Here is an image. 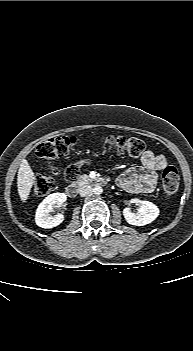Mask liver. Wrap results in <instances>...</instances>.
Returning <instances> with one entry per match:
<instances>
[{"mask_svg":"<svg viewBox=\"0 0 193 351\" xmlns=\"http://www.w3.org/2000/svg\"><path fill=\"white\" fill-rule=\"evenodd\" d=\"M35 182V175L26 159H23L17 174L18 194L22 202H26Z\"/></svg>","mask_w":193,"mask_h":351,"instance_id":"liver-1","label":"liver"}]
</instances>
